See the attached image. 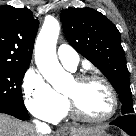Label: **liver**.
Instances as JSON below:
<instances>
[{
	"label": "liver",
	"instance_id": "liver-1",
	"mask_svg": "<svg viewBox=\"0 0 136 136\" xmlns=\"http://www.w3.org/2000/svg\"><path fill=\"white\" fill-rule=\"evenodd\" d=\"M98 128H70L67 134H91ZM50 133V129L46 131L35 132V127L31 123L19 121L9 115L0 113V136H43L44 134Z\"/></svg>",
	"mask_w": 136,
	"mask_h": 136
}]
</instances>
